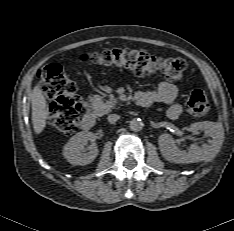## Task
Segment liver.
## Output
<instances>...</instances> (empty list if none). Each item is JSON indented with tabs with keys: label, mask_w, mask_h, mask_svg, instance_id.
<instances>
[{
	"label": "liver",
	"mask_w": 234,
	"mask_h": 231,
	"mask_svg": "<svg viewBox=\"0 0 234 231\" xmlns=\"http://www.w3.org/2000/svg\"><path fill=\"white\" fill-rule=\"evenodd\" d=\"M48 107L40 85H36L32 94V123L36 134H40L46 127Z\"/></svg>",
	"instance_id": "liver-1"
}]
</instances>
